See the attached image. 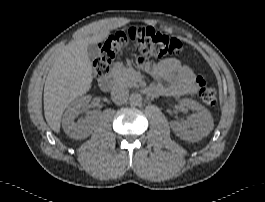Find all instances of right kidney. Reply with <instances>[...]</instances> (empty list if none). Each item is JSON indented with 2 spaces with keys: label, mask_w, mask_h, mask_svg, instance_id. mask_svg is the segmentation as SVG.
Listing matches in <instances>:
<instances>
[{
  "label": "right kidney",
  "mask_w": 265,
  "mask_h": 202,
  "mask_svg": "<svg viewBox=\"0 0 265 202\" xmlns=\"http://www.w3.org/2000/svg\"><path fill=\"white\" fill-rule=\"evenodd\" d=\"M92 97L91 95L82 96L74 100L66 109L62 118V127L64 132L74 139H85L96 127L100 118V112L94 111L91 115L75 122V118L79 115L82 108L88 106Z\"/></svg>",
  "instance_id": "ca27d5eb"
}]
</instances>
